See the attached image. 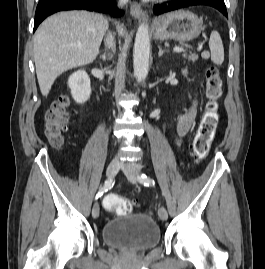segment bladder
Wrapping results in <instances>:
<instances>
[{"label": "bladder", "mask_w": 265, "mask_h": 269, "mask_svg": "<svg viewBox=\"0 0 265 269\" xmlns=\"http://www.w3.org/2000/svg\"><path fill=\"white\" fill-rule=\"evenodd\" d=\"M102 238L108 245L121 250L145 251L160 242V229L149 215H125L106 223Z\"/></svg>", "instance_id": "obj_1"}]
</instances>
